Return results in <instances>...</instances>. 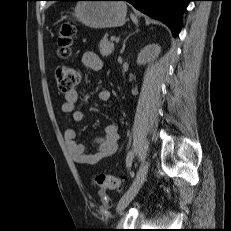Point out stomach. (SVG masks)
Returning <instances> with one entry per match:
<instances>
[{"mask_svg": "<svg viewBox=\"0 0 231 231\" xmlns=\"http://www.w3.org/2000/svg\"><path fill=\"white\" fill-rule=\"evenodd\" d=\"M125 3L116 0H84L78 2L74 16L87 27L103 29L119 27L126 22Z\"/></svg>", "mask_w": 231, "mask_h": 231, "instance_id": "1", "label": "stomach"}]
</instances>
